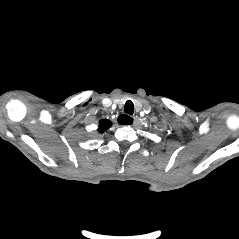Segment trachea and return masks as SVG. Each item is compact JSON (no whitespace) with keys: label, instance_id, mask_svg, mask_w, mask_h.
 <instances>
[{"label":"trachea","instance_id":"1","mask_svg":"<svg viewBox=\"0 0 239 239\" xmlns=\"http://www.w3.org/2000/svg\"><path fill=\"white\" fill-rule=\"evenodd\" d=\"M124 112L129 114V115H133V113H134V104H133L132 101L128 100L125 103Z\"/></svg>","mask_w":239,"mask_h":239}]
</instances>
